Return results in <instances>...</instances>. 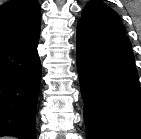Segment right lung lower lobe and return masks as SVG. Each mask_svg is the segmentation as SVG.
<instances>
[{
  "label": "right lung lower lobe",
  "instance_id": "obj_1",
  "mask_svg": "<svg viewBox=\"0 0 141 139\" xmlns=\"http://www.w3.org/2000/svg\"><path fill=\"white\" fill-rule=\"evenodd\" d=\"M40 33L0 47V136L36 139Z\"/></svg>",
  "mask_w": 141,
  "mask_h": 139
}]
</instances>
